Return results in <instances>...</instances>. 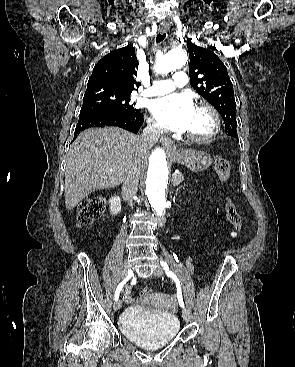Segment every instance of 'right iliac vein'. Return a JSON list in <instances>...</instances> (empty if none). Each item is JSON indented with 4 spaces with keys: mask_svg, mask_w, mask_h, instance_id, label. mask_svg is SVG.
Returning a JSON list of instances; mask_svg holds the SVG:
<instances>
[{
    "mask_svg": "<svg viewBox=\"0 0 295 367\" xmlns=\"http://www.w3.org/2000/svg\"><path fill=\"white\" fill-rule=\"evenodd\" d=\"M129 268H130V263H129V261L126 260L124 262V265H123V272H122V277L123 278L127 277ZM113 308H114L115 311H118L121 308V300L118 299L117 301H115L114 305H113Z\"/></svg>",
    "mask_w": 295,
    "mask_h": 367,
    "instance_id": "63e3f726",
    "label": "right iliac vein"
}]
</instances>
